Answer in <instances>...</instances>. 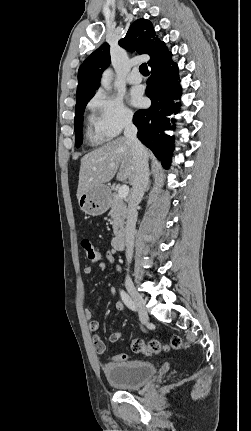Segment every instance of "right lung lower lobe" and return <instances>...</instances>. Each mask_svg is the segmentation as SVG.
Listing matches in <instances>:
<instances>
[{
    "instance_id": "obj_1",
    "label": "right lung lower lobe",
    "mask_w": 251,
    "mask_h": 431,
    "mask_svg": "<svg viewBox=\"0 0 251 431\" xmlns=\"http://www.w3.org/2000/svg\"><path fill=\"white\" fill-rule=\"evenodd\" d=\"M171 56L163 63L150 66L146 96L151 99L152 105L149 109L137 111L133 117V123L138 128V139L152 150L166 168L170 166L174 147L173 137L164 133L172 128L166 116L178 112L179 104L173 100L181 96L178 68Z\"/></svg>"
}]
</instances>
